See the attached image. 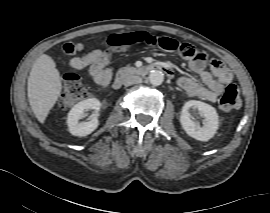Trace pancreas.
Returning a JSON list of instances; mask_svg holds the SVG:
<instances>
[{
  "label": "pancreas",
  "instance_id": "cf45deb5",
  "mask_svg": "<svg viewBox=\"0 0 270 213\" xmlns=\"http://www.w3.org/2000/svg\"><path fill=\"white\" fill-rule=\"evenodd\" d=\"M128 71H134V68H122L119 70V73L124 74L125 72H128Z\"/></svg>",
  "mask_w": 270,
  "mask_h": 213
}]
</instances>
